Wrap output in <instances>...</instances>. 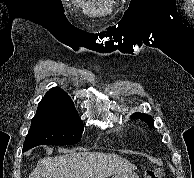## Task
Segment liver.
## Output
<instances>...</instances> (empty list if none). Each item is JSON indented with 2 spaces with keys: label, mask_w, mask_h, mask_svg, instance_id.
<instances>
[{
  "label": "liver",
  "mask_w": 194,
  "mask_h": 178,
  "mask_svg": "<svg viewBox=\"0 0 194 178\" xmlns=\"http://www.w3.org/2000/svg\"><path fill=\"white\" fill-rule=\"evenodd\" d=\"M136 166L111 153L71 152L38 161L29 178H107Z\"/></svg>",
  "instance_id": "obj_1"
}]
</instances>
